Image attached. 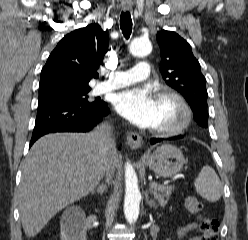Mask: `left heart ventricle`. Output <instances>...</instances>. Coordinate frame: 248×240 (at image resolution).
<instances>
[{
  "instance_id": "obj_1",
  "label": "left heart ventricle",
  "mask_w": 248,
  "mask_h": 240,
  "mask_svg": "<svg viewBox=\"0 0 248 240\" xmlns=\"http://www.w3.org/2000/svg\"><path fill=\"white\" fill-rule=\"evenodd\" d=\"M158 123L155 128H162L174 124L179 116L180 110L178 105L171 99L158 98Z\"/></svg>"
}]
</instances>
